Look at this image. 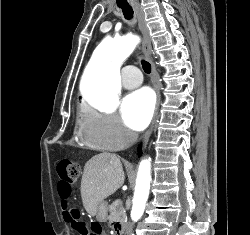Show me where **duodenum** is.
Returning a JSON list of instances; mask_svg holds the SVG:
<instances>
[{"label": "duodenum", "mask_w": 250, "mask_h": 235, "mask_svg": "<svg viewBox=\"0 0 250 235\" xmlns=\"http://www.w3.org/2000/svg\"><path fill=\"white\" fill-rule=\"evenodd\" d=\"M114 234L115 235H122L123 232H122V228L119 226V227H115L114 228Z\"/></svg>", "instance_id": "1"}]
</instances>
